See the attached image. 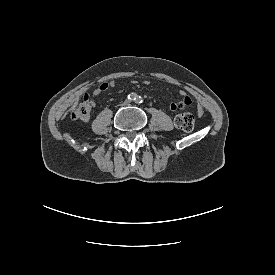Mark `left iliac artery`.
<instances>
[{"instance_id":"44dca946","label":"left iliac artery","mask_w":275,"mask_h":275,"mask_svg":"<svg viewBox=\"0 0 275 275\" xmlns=\"http://www.w3.org/2000/svg\"><path fill=\"white\" fill-rule=\"evenodd\" d=\"M137 102H138V103H142V102H143L142 98H141V97H138V98H137Z\"/></svg>"}]
</instances>
